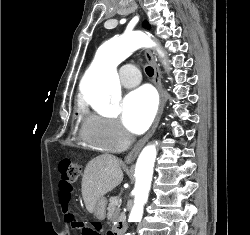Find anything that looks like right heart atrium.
<instances>
[{
  "mask_svg": "<svg viewBox=\"0 0 250 235\" xmlns=\"http://www.w3.org/2000/svg\"><path fill=\"white\" fill-rule=\"evenodd\" d=\"M87 134L89 138L107 151L124 149L131 141V136L113 117L88 115Z\"/></svg>",
  "mask_w": 250,
  "mask_h": 235,
  "instance_id": "obj_1",
  "label": "right heart atrium"
}]
</instances>
